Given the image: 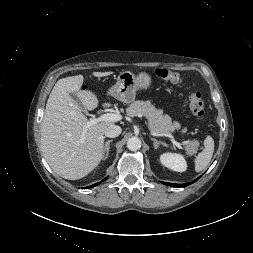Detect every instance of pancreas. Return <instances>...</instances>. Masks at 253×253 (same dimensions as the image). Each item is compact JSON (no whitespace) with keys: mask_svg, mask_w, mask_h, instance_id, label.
<instances>
[{"mask_svg":"<svg viewBox=\"0 0 253 253\" xmlns=\"http://www.w3.org/2000/svg\"><path fill=\"white\" fill-rule=\"evenodd\" d=\"M126 114L131 117L144 115L151 129L163 135L170 134L179 125L178 123L173 124L168 115L163 114L161 109H157L149 101H134L126 109ZM198 146V141H188L185 148L189 155H194Z\"/></svg>","mask_w":253,"mask_h":253,"instance_id":"pancreas-1","label":"pancreas"}]
</instances>
